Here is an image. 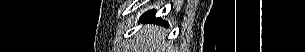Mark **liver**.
I'll list each match as a JSON object with an SVG mask.
<instances>
[{
	"mask_svg": "<svg viewBox=\"0 0 305 52\" xmlns=\"http://www.w3.org/2000/svg\"><path fill=\"white\" fill-rule=\"evenodd\" d=\"M140 43L144 52H164L162 50H165L164 36L159 32L158 27L146 26L140 33Z\"/></svg>",
	"mask_w": 305,
	"mask_h": 52,
	"instance_id": "6515ba94",
	"label": "liver"
}]
</instances>
